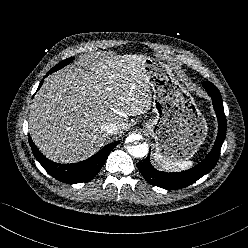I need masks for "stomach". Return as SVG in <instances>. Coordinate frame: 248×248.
Here are the masks:
<instances>
[{
	"label": "stomach",
	"mask_w": 248,
	"mask_h": 248,
	"mask_svg": "<svg viewBox=\"0 0 248 248\" xmlns=\"http://www.w3.org/2000/svg\"><path fill=\"white\" fill-rule=\"evenodd\" d=\"M143 70L151 86L152 107L156 114L143 127L155 140V154L166 161L190 159L206 138L205 118L169 66L145 56Z\"/></svg>",
	"instance_id": "0dacf381"
}]
</instances>
